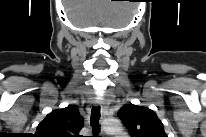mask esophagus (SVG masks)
I'll use <instances>...</instances> for the list:
<instances>
[{
    "label": "esophagus",
    "mask_w": 206,
    "mask_h": 137,
    "mask_svg": "<svg viewBox=\"0 0 206 137\" xmlns=\"http://www.w3.org/2000/svg\"><path fill=\"white\" fill-rule=\"evenodd\" d=\"M96 105L101 107V119L103 120L106 115V106L104 105L103 101L97 100Z\"/></svg>",
    "instance_id": "esophagus-1"
}]
</instances>
